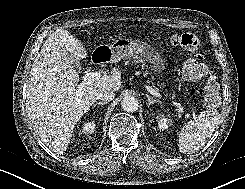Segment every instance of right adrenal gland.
Listing matches in <instances>:
<instances>
[{"instance_id":"obj_1","label":"right adrenal gland","mask_w":245,"mask_h":189,"mask_svg":"<svg viewBox=\"0 0 245 189\" xmlns=\"http://www.w3.org/2000/svg\"><path fill=\"white\" fill-rule=\"evenodd\" d=\"M107 102L104 101V102H96V103H93V108L96 106V105H100V106H103L105 105Z\"/></svg>"}]
</instances>
